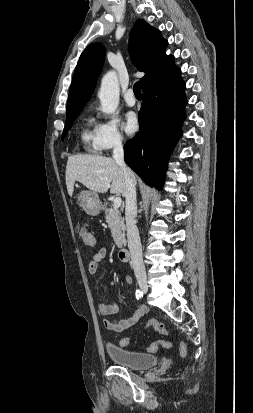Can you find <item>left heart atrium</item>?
I'll use <instances>...</instances> for the list:
<instances>
[{"label": "left heart atrium", "instance_id": "obj_1", "mask_svg": "<svg viewBox=\"0 0 253 413\" xmlns=\"http://www.w3.org/2000/svg\"><path fill=\"white\" fill-rule=\"evenodd\" d=\"M122 127L128 135L135 133L139 127L137 115L134 112H127L122 122Z\"/></svg>", "mask_w": 253, "mask_h": 413}]
</instances>
